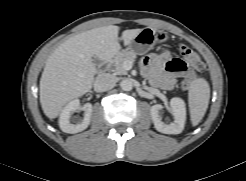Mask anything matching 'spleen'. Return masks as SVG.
<instances>
[{
	"label": "spleen",
	"instance_id": "obj_1",
	"mask_svg": "<svg viewBox=\"0 0 246 181\" xmlns=\"http://www.w3.org/2000/svg\"><path fill=\"white\" fill-rule=\"evenodd\" d=\"M210 86L204 78L194 79L188 92V106L193 126L200 123L208 108Z\"/></svg>",
	"mask_w": 246,
	"mask_h": 181
}]
</instances>
